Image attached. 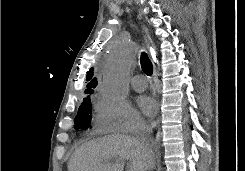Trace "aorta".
Returning a JSON list of instances; mask_svg holds the SVG:
<instances>
[{
    "instance_id": "aorta-1",
    "label": "aorta",
    "mask_w": 245,
    "mask_h": 171,
    "mask_svg": "<svg viewBox=\"0 0 245 171\" xmlns=\"http://www.w3.org/2000/svg\"><path fill=\"white\" fill-rule=\"evenodd\" d=\"M138 46L131 40L124 41L108 60L102 86L107 96L114 99L125 98L129 94L128 77L136 60Z\"/></svg>"
}]
</instances>
